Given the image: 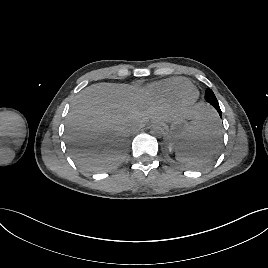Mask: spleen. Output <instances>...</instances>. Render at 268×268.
<instances>
[{
  "label": "spleen",
  "mask_w": 268,
  "mask_h": 268,
  "mask_svg": "<svg viewBox=\"0 0 268 268\" xmlns=\"http://www.w3.org/2000/svg\"><path fill=\"white\" fill-rule=\"evenodd\" d=\"M219 120L213 112L193 123L190 142L176 149V159L190 165H200L215 156L220 143Z\"/></svg>",
  "instance_id": "1"
}]
</instances>
